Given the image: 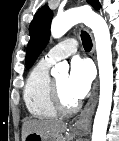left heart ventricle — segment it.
Returning <instances> with one entry per match:
<instances>
[{
    "label": "left heart ventricle",
    "instance_id": "b2bd125f",
    "mask_svg": "<svg viewBox=\"0 0 119 141\" xmlns=\"http://www.w3.org/2000/svg\"><path fill=\"white\" fill-rule=\"evenodd\" d=\"M56 83H57V87L60 93V96L63 100V102L66 105H72L76 102V100L68 93L67 90V81H68V76L67 74H63L58 76L55 79Z\"/></svg>",
    "mask_w": 119,
    "mask_h": 141
}]
</instances>
